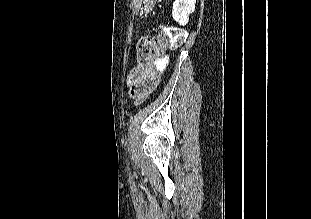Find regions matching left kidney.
I'll return each instance as SVG.
<instances>
[{
	"label": "left kidney",
	"instance_id": "1",
	"mask_svg": "<svg viewBox=\"0 0 311 219\" xmlns=\"http://www.w3.org/2000/svg\"><path fill=\"white\" fill-rule=\"evenodd\" d=\"M196 0H175L173 3L172 17L180 25L184 26L189 21L190 13L195 10Z\"/></svg>",
	"mask_w": 311,
	"mask_h": 219
}]
</instances>
